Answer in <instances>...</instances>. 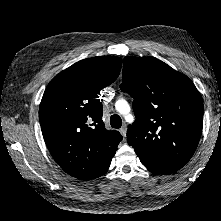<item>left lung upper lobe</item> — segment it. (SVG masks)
<instances>
[{
  "label": "left lung upper lobe",
  "mask_w": 221,
  "mask_h": 221,
  "mask_svg": "<svg viewBox=\"0 0 221 221\" xmlns=\"http://www.w3.org/2000/svg\"><path fill=\"white\" fill-rule=\"evenodd\" d=\"M120 88L134 99L136 120L127 140L136 154L183 167L203 126V101L193 82L154 57H125Z\"/></svg>",
  "instance_id": "obj_1"
}]
</instances>
